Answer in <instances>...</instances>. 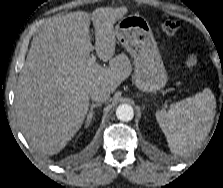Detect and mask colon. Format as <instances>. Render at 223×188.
I'll return each instance as SVG.
<instances>
[{"mask_svg":"<svg viewBox=\"0 0 223 188\" xmlns=\"http://www.w3.org/2000/svg\"><path fill=\"white\" fill-rule=\"evenodd\" d=\"M181 24L178 20L167 19L161 23V29L166 34H175L179 31ZM199 62L198 54L194 51L187 53L185 57V64L189 68L195 67Z\"/></svg>","mask_w":223,"mask_h":188,"instance_id":"colon-1","label":"colon"}]
</instances>
